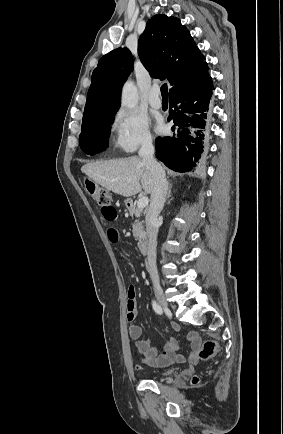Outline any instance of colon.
I'll list each match as a JSON object with an SVG mask.
<instances>
[{
  "mask_svg": "<svg viewBox=\"0 0 283 434\" xmlns=\"http://www.w3.org/2000/svg\"><path fill=\"white\" fill-rule=\"evenodd\" d=\"M86 188L90 193L93 200L101 207L111 204L112 197L108 190L94 184L91 181H87ZM218 344L214 340H206L202 343L197 351L198 358L201 360H208L214 357L218 353ZM199 381L197 377H194L192 382L196 384Z\"/></svg>",
  "mask_w": 283,
  "mask_h": 434,
  "instance_id": "1",
  "label": "colon"
}]
</instances>
